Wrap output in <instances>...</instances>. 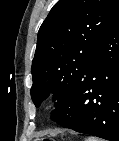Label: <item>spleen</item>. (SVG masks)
I'll list each match as a JSON object with an SVG mask.
<instances>
[{
	"label": "spleen",
	"instance_id": "3e777b00",
	"mask_svg": "<svg viewBox=\"0 0 119 141\" xmlns=\"http://www.w3.org/2000/svg\"><path fill=\"white\" fill-rule=\"evenodd\" d=\"M85 141H99V140L97 138H95V137H87L85 139Z\"/></svg>",
	"mask_w": 119,
	"mask_h": 141
}]
</instances>
